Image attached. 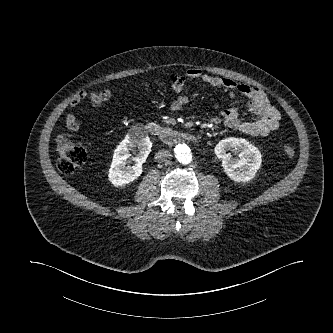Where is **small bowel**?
Listing matches in <instances>:
<instances>
[{"mask_svg": "<svg viewBox=\"0 0 333 333\" xmlns=\"http://www.w3.org/2000/svg\"><path fill=\"white\" fill-rule=\"evenodd\" d=\"M169 80L175 94L170 102V108L173 110H179L191 101V95L180 94L188 82L200 80L215 89L228 92L231 96L238 92L247 97L248 101L245 106L257 118L255 120H244L240 118V105H230L220 113L222 121L227 126L234 127L253 137L266 136L279 128L280 113L270 104L264 91L259 88L236 82L230 78L211 76L197 68L188 69L183 76L172 75ZM110 97L111 91L108 89L91 92L81 91L71 98L69 106L73 108L84 100H90L94 105L99 106L109 100ZM66 126L71 131H78L80 128L77 118L72 112L66 115Z\"/></svg>", "mask_w": 333, "mask_h": 333, "instance_id": "1", "label": "small bowel"}]
</instances>
